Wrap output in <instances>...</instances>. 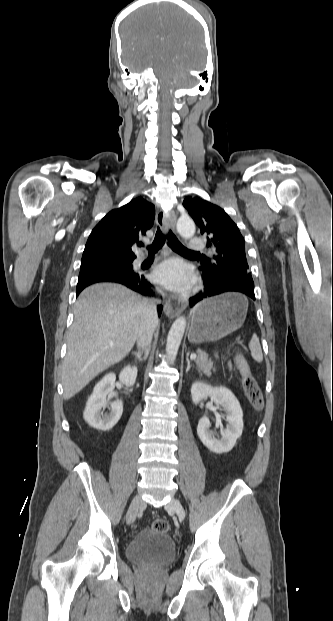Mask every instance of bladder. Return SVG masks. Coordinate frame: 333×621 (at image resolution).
<instances>
[{"instance_id": "31cf9c89", "label": "bladder", "mask_w": 333, "mask_h": 621, "mask_svg": "<svg viewBox=\"0 0 333 621\" xmlns=\"http://www.w3.org/2000/svg\"><path fill=\"white\" fill-rule=\"evenodd\" d=\"M176 555L173 539L154 529H144L127 545L126 556L135 564L166 565Z\"/></svg>"}]
</instances>
